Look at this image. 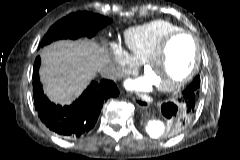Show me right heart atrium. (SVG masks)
<instances>
[{"label":"right heart atrium","instance_id":"right-heart-atrium-1","mask_svg":"<svg viewBox=\"0 0 240 160\" xmlns=\"http://www.w3.org/2000/svg\"><path fill=\"white\" fill-rule=\"evenodd\" d=\"M110 53L112 56L109 68L110 76H119L121 73L136 67V62L119 45L111 43Z\"/></svg>","mask_w":240,"mask_h":160}]
</instances>
